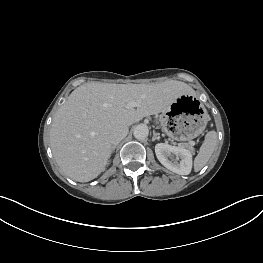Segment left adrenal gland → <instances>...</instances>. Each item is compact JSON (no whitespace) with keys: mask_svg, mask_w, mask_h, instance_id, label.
Here are the masks:
<instances>
[{"mask_svg":"<svg viewBox=\"0 0 263 263\" xmlns=\"http://www.w3.org/2000/svg\"><path fill=\"white\" fill-rule=\"evenodd\" d=\"M155 140H160V136L155 131H153L152 141H155Z\"/></svg>","mask_w":263,"mask_h":263,"instance_id":"left-adrenal-gland-1","label":"left adrenal gland"}]
</instances>
